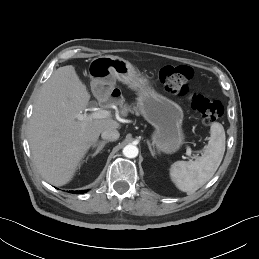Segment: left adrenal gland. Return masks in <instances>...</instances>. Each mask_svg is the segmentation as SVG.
Instances as JSON below:
<instances>
[{
  "label": "left adrenal gland",
  "mask_w": 259,
  "mask_h": 259,
  "mask_svg": "<svg viewBox=\"0 0 259 259\" xmlns=\"http://www.w3.org/2000/svg\"><path fill=\"white\" fill-rule=\"evenodd\" d=\"M147 144H148L149 151H150L151 155L154 157V156H155V152H154V150H152V147H151L150 142H149V141H147Z\"/></svg>",
  "instance_id": "left-adrenal-gland-1"
}]
</instances>
